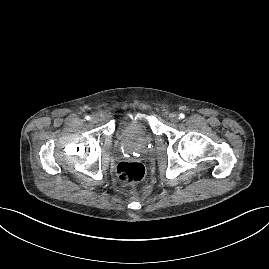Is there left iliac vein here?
Returning a JSON list of instances; mask_svg holds the SVG:
<instances>
[{
	"label": "left iliac vein",
	"instance_id": "obj_1",
	"mask_svg": "<svg viewBox=\"0 0 269 269\" xmlns=\"http://www.w3.org/2000/svg\"><path fill=\"white\" fill-rule=\"evenodd\" d=\"M170 121H171V123L176 124L179 121L178 115H176V114L171 115Z\"/></svg>",
	"mask_w": 269,
	"mask_h": 269
}]
</instances>
